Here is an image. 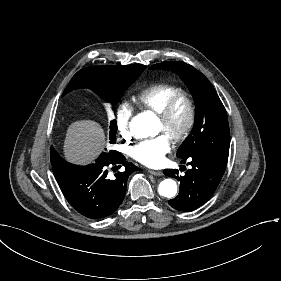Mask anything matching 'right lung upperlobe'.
<instances>
[{
    "label": "right lung upper lobe",
    "instance_id": "1",
    "mask_svg": "<svg viewBox=\"0 0 281 281\" xmlns=\"http://www.w3.org/2000/svg\"><path fill=\"white\" fill-rule=\"evenodd\" d=\"M141 64H131L128 66L105 65L87 67L77 72L63 95L79 88H109L123 85L130 82ZM146 67V66H145Z\"/></svg>",
    "mask_w": 281,
    "mask_h": 281
}]
</instances>
